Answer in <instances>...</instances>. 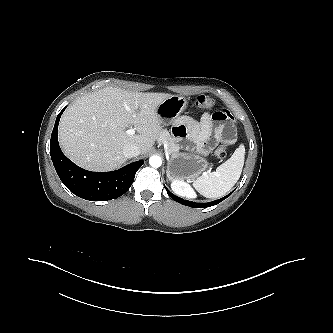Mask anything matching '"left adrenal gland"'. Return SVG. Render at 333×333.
I'll return each mask as SVG.
<instances>
[{"label":"left adrenal gland","mask_w":333,"mask_h":333,"mask_svg":"<svg viewBox=\"0 0 333 333\" xmlns=\"http://www.w3.org/2000/svg\"><path fill=\"white\" fill-rule=\"evenodd\" d=\"M167 177H168L169 180H171V177H170V174H169L168 171H167Z\"/></svg>","instance_id":"a2214340"}]
</instances>
